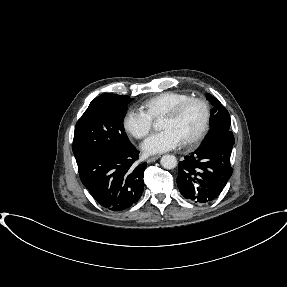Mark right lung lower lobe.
Instances as JSON below:
<instances>
[{"mask_svg":"<svg viewBox=\"0 0 287 287\" xmlns=\"http://www.w3.org/2000/svg\"><path fill=\"white\" fill-rule=\"evenodd\" d=\"M139 151L100 149L86 155L78 170L83 185L105 209L122 211L135 204L144 189L147 163L135 165Z\"/></svg>","mask_w":287,"mask_h":287,"instance_id":"right-lung-lower-lobe-1","label":"right lung lower lobe"}]
</instances>
